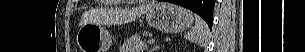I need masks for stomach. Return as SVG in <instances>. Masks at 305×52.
Instances as JSON below:
<instances>
[{
  "mask_svg": "<svg viewBox=\"0 0 305 52\" xmlns=\"http://www.w3.org/2000/svg\"><path fill=\"white\" fill-rule=\"evenodd\" d=\"M151 27L166 33H179L192 26L193 13L183 7L159 1L146 12ZM76 41L81 52H105L112 45L109 31L100 23L83 25L77 33Z\"/></svg>",
  "mask_w": 305,
  "mask_h": 52,
  "instance_id": "1",
  "label": "stomach"
}]
</instances>
